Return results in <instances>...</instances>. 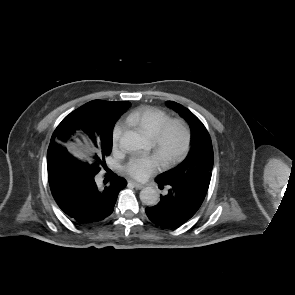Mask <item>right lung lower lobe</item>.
<instances>
[{
    "label": "right lung lower lobe",
    "instance_id": "obj_1",
    "mask_svg": "<svg viewBox=\"0 0 295 295\" xmlns=\"http://www.w3.org/2000/svg\"><path fill=\"white\" fill-rule=\"evenodd\" d=\"M48 180L52 195L72 222L82 226L95 225L114 209L119 192L127 182L107 167L102 184L97 183L100 169L87 168L65 155L59 147L47 153Z\"/></svg>",
    "mask_w": 295,
    "mask_h": 295
}]
</instances>
